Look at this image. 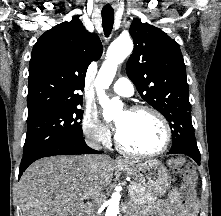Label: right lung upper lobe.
Returning a JSON list of instances; mask_svg holds the SVG:
<instances>
[{"label":"right lung upper lobe","instance_id":"obj_1","mask_svg":"<svg viewBox=\"0 0 221 216\" xmlns=\"http://www.w3.org/2000/svg\"><path fill=\"white\" fill-rule=\"evenodd\" d=\"M103 47L79 17L46 31L33 47L28 78V116L82 104L89 64Z\"/></svg>","mask_w":221,"mask_h":216}]
</instances>
